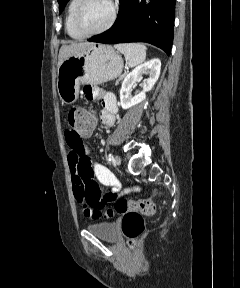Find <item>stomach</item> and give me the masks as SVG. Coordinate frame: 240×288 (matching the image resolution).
Wrapping results in <instances>:
<instances>
[{
  "mask_svg": "<svg viewBox=\"0 0 240 288\" xmlns=\"http://www.w3.org/2000/svg\"><path fill=\"white\" fill-rule=\"evenodd\" d=\"M123 59L111 46L95 44L67 59L58 67L57 91L64 104H73L80 85H99L120 76Z\"/></svg>",
  "mask_w": 240,
  "mask_h": 288,
  "instance_id": "obj_1",
  "label": "stomach"
}]
</instances>
